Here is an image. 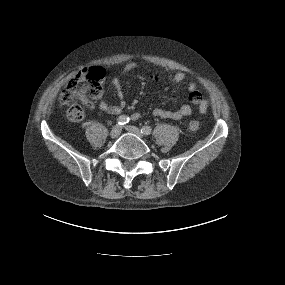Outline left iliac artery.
Segmentation results:
<instances>
[{
  "label": "left iliac artery",
  "instance_id": "1",
  "mask_svg": "<svg viewBox=\"0 0 285 285\" xmlns=\"http://www.w3.org/2000/svg\"><path fill=\"white\" fill-rule=\"evenodd\" d=\"M141 132L145 135H149L152 132V128L149 126H143Z\"/></svg>",
  "mask_w": 285,
  "mask_h": 285
}]
</instances>
